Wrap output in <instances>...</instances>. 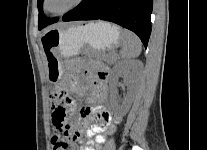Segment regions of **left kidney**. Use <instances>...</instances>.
<instances>
[{
  "label": "left kidney",
  "instance_id": "left-kidney-1",
  "mask_svg": "<svg viewBox=\"0 0 207 150\" xmlns=\"http://www.w3.org/2000/svg\"><path fill=\"white\" fill-rule=\"evenodd\" d=\"M139 63L137 61H120L115 64L112 70V76L110 79L111 91H110V103L111 108L118 116H124L129 111L132 102L135 97V88L132 86L136 74L139 72ZM124 76L126 78L129 91L127 92L124 100L119 103L117 99L116 83L118 78Z\"/></svg>",
  "mask_w": 207,
  "mask_h": 150
}]
</instances>
